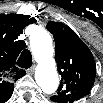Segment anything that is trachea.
<instances>
[{
  "mask_svg": "<svg viewBox=\"0 0 103 103\" xmlns=\"http://www.w3.org/2000/svg\"><path fill=\"white\" fill-rule=\"evenodd\" d=\"M17 65L22 68H29L32 65V55L29 50H24L21 53Z\"/></svg>",
  "mask_w": 103,
  "mask_h": 103,
  "instance_id": "1",
  "label": "trachea"
}]
</instances>
